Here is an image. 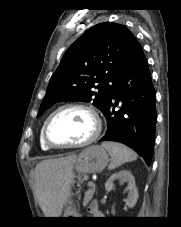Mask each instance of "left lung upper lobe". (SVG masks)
Instances as JSON below:
<instances>
[{
	"label": "left lung upper lobe",
	"instance_id": "5c2ea615",
	"mask_svg": "<svg viewBox=\"0 0 181 227\" xmlns=\"http://www.w3.org/2000/svg\"><path fill=\"white\" fill-rule=\"evenodd\" d=\"M139 46L123 25L106 22L91 27L65 52L50 79L38 116L64 100L93 101L104 113Z\"/></svg>",
	"mask_w": 181,
	"mask_h": 227
}]
</instances>
